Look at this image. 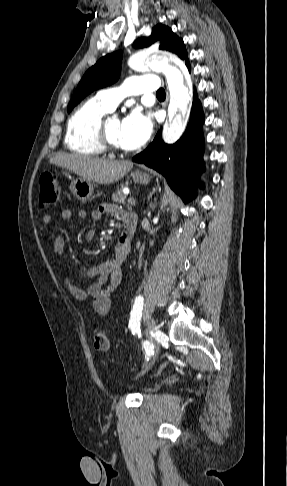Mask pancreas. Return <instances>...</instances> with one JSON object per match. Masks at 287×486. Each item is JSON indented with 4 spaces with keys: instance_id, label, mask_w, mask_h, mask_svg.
Returning <instances> with one entry per match:
<instances>
[{
    "instance_id": "cf45deb5",
    "label": "pancreas",
    "mask_w": 287,
    "mask_h": 486,
    "mask_svg": "<svg viewBox=\"0 0 287 486\" xmlns=\"http://www.w3.org/2000/svg\"><path fill=\"white\" fill-rule=\"evenodd\" d=\"M125 199L126 195L122 192V190H118L116 193H113L112 195V201L119 203V204H125Z\"/></svg>"
}]
</instances>
